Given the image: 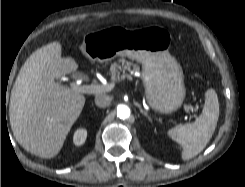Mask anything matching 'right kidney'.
<instances>
[{"label": "right kidney", "instance_id": "1", "mask_svg": "<svg viewBox=\"0 0 245 187\" xmlns=\"http://www.w3.org/2000/svg\"><path fill=\"white\" fill-rule=\"evenodd\" d=\"M87 137V131L85 129H78L73 136V142L76 146L84 144Z\"/></svg>", "mask_w": 245, "mask_h": 187}]
</instances>
